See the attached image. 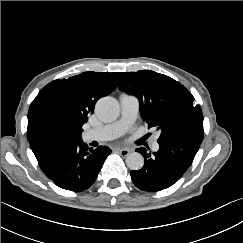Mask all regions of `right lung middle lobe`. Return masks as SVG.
<instances>
[{"mask_svg": "<svg viewBox=\"0 0 243 243\" xmlns=\"http://www.w3.org/2000/svg\"><path fill=\"white\" fill-rule=\"evenodd\" d=\"M47 127L49 131L60 133L73 140L81 138L82 130L75 129L74 125L62 115L52 113L47 118Z\"/></svg>", "mask_w": 243, "mask_h": 243, "instance_id": "1", "label": "right lung middle lobe"}]
</instances>
